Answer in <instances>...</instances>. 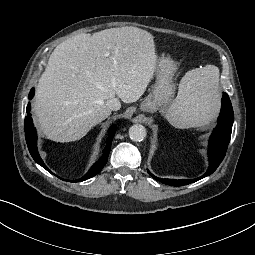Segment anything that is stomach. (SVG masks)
Instances as JSON below:
<instances>
[{
    "label": "stomach",
    "instance_id": "0dacf381",
    "mask_svg": "<svg viewBox=\"0 0 255 255\" xmlns=\"http://www.w3.org/2000/svg\"><path fill=\"white\" fill-rule=\"evenodd\" d=\"M177 71L176 63L169 57L161 56L155 67L156 81L149 95L141 103L143 112L166 113L174 101L176 85L174 75Z\"/></svg>",
    "mask_w": 255,
    "mask_h": 255
}]
</instances>
